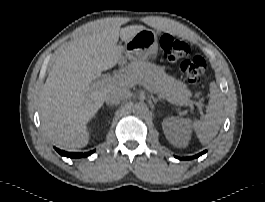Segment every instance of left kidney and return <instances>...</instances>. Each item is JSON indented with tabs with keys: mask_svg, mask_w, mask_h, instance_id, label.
Instances as JSON below:
<instances>
[{
	"mask_svg": "<svg viewBox=\"0 0 265 202\" xmlns=\"http://www.w3.org/2000/svg\"><path fill=\"white\" fill-rule=\"evenodd\" d=\"M167 140L177 148H184L191 139L190 126L182 118L169 117L162 122Z\"/></svg>",
	"mask_w": 265,
	"mask_h": 202,
	"instance_id": "obj_1",
	"label": "left kidney"
}]
</instances>
